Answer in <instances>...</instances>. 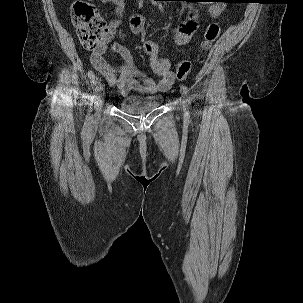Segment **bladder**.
<instances>
[{
    "label": "bladder",
    "mask_w": 303,
    "mask_h": 303,
    "mask_svg": "<svg viewBox=\"0 0 303 303\" xmlns=\"http://www.w3.org/2000/svg\"><path fill=\"white\" fill-rule=\"evenodd\" d=\"M162 102V94H130L122 96L119 104L124 112L141 114L159 108Z\"/></svg>",
    "instance_id": "bladder-1"
}]
</instances>
